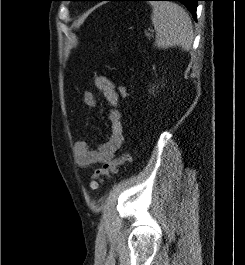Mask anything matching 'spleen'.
<instances>
[{"label": "spleen", "instance_id": "spleen-1", "mask_svg": "<svg viewBox=\"0 0 245 265\" xmlns=\"http://www.w3.org/2000/svg\"><path fill=\"white\" fill-rule=\"evenodd\" d=\"M150 5L151 20L156 31L155 46L161 49L179 46L183 50H190L194 36L188 13L169 1H152Z\"/></svg>", "mask_w": 245, "mask_h": 265}]
</instances>
